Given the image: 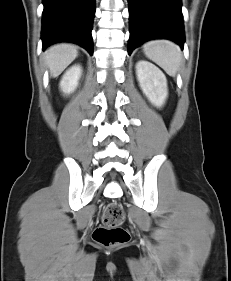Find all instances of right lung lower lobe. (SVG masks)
I'll list each match as a JSON object with an SVG mask.
<instances>
[{
  "mask_svg": "<svg viewBox=\"0 0 231 281\" xmlns=\"http://www.w3.org/2000/svg\"><path fill=\"white\" fill-rule=\"evenodd\" d=\"M43 49L56 42H73L91 55L95 0H43Z\"/></svg>",
  "mask_w": 231,
  "mask_h": 281,
  "instance_id": "obj_1",
  "label": "right lung lower lobe"
}]
</instances>
